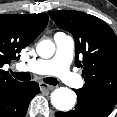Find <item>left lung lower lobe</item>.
I'll return each instance as SVG.
<instances>
[{
    "label": "left lung lower lobe",
    "mask_w": 117,
    "mask_h": 117,
    "mask_svg": "<svg viewBox=\"0 0 117 117\" xmlns=\"http://www.w3.org/2000/svg\"><path fill=\"white\" fill-rule=\"evenodd\" d=\"M74 91L78 98L75 109L66 113L56 112V117H108L116 103L109 99L85 95L78 90Z\"/></svg>",
    "instance_id": "left-lung-lower-lobe-1"
}]
</instances>
